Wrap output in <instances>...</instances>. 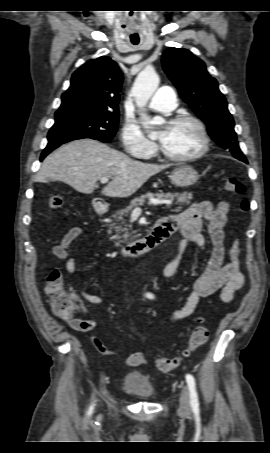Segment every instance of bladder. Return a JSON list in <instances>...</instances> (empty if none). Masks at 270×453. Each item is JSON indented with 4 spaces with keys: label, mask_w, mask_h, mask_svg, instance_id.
Returning a JSON list of instances; mask_svg holds the SVG:
<instances>
[{
    "label": "bladder",
    "mask_w": 270,
    "mask_h": 453,
    "mask_svg": "<svg viewBox=\"0 0 270 453\" xmlns=\"http://www.w3.org/2000/svg\"><path fill=\"white\" fill-rule=\"evenodd\" d=\"M122 388L142 400L151 399L155 393L149 376L141 371L127 373L124 377Z\"/></svg>",
    "instance_id": "bladder-1"
}]
</instances>
